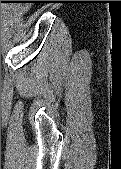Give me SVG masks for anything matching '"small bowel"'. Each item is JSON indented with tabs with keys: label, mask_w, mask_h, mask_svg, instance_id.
I'll list each match as a JSON object with an SVG mask.
<instances>
[{
	"label": "small bowel",
	"mask_w": 121,
	"mask_h": 169,
	"mask_svg": "<svg viewBox=\"0 0 121 169\" xmlns=\"http://www.w3.org/2000/svg\"><path fill=\"white\" fill-rule=\"evenodd\" d=\"M23 14H24V12H16V13L14 14V17H15V18H19V17H21Z\"/></svg>",
	"instance_id": "obj_1"
}]
</instances>
